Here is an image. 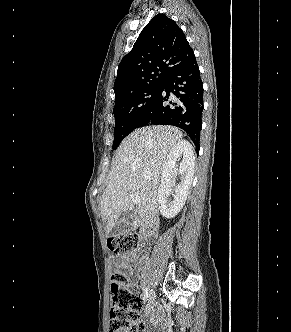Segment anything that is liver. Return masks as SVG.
<instances>
[{
  "instance_id": "1",
  "label": "liver",
  "mask_w": 291,
  "mask_h": 332,
  "mask_svg": "<svg viewBox=\"0 0 291 332\" xmlns=\"http://www.w3.org/2000/svg\"><path fill=\"white\" fill-rule=\"evenodd\" d=\"M182 141L172 126H147L129 134L115 153L108 184L101 198L100 212L107 220V234L122 212L132 209L130 194L138 195L137 213L151 218L158 213L157 191L166 157Z\"/></svg>"
}]
</instances>
